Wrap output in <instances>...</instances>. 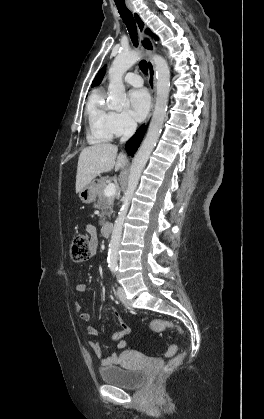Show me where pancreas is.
I'll return each mask as SVG.
<instances>
[{"mask_svg": "<svg viewBox=\"0 0 264 419\" xmlns=\"http://www.w3.org/2000/svg\"><path fill=\"white\" fill-rule=\"evenodd\" d=\"M108 184H109V180L106 177H101L98 180V184H97L98 200L95 204V207L102 210V213L100 214L101 224L105 222V216L110 217V215L112 214L113 212L112 208L114 205V200L116 198V195H113L110 197L105 196L104 190Z\"/></svg>", "mask_w": 264, "mask_h": 419, "instance_id": "1", "label": "pancreas"}]
</instances>
